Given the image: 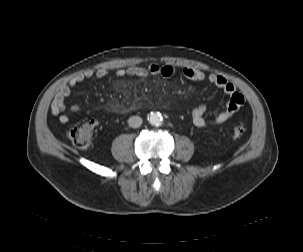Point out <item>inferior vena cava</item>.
<instances>
[{"label":"inferior vena cava","instance_id":"1","mask_svg":"<svg viewBox=\"0 0 303 252\" xmlns=\"http://www.w3.org/2000/svg\"><path fill=\"white\" fill-rule=\"evenodd\" d=\"M143 120L141 117L139 116H131L129 119H128V125L131 127V128H138L141 126Z\"/></svg>","mask_w":303,"mask_h":252}]
</instances>
